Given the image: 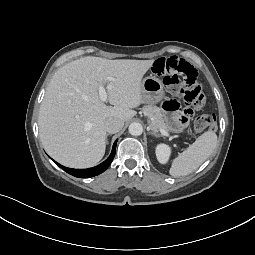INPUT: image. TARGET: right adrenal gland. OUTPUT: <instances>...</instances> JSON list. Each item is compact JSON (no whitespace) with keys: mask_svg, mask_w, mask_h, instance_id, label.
<instances>
[{"mask_svg":"<svg viewBox=\"0 0 255 255\" xmlns=\"http://www.w3.org/2000/svg\"><path fill=\"white\" fill-rule=\"evenodd\" d=\"M109 134L106 135V142L108 143V140H107V137H108Z\"/></svg>","mask_w":255,"mask_h":255,"instance_id":"obj_1","label":"right adrenal gland"}]
</instances>
